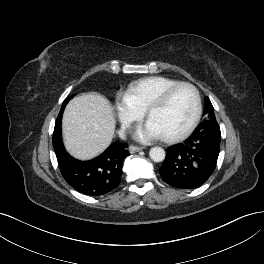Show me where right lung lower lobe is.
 Listing matches in <instances>:
<instances>
[{
	"label": "right lung lower lobe",
	"instance_id": "right-lung-lower-lobe-1",
	"mask_svg": "<svg viewBox=\"0 0 264 264\" xmlns=\"http://www.w3.org/2000/svg\"><path fill=\"white\" fill-rule=\"evenodd\" d=\"M60 112L54 128L53 147L64 179L77 191L91 196L106 194L121 180L124 159L129 155L127 144L113 143L100 156L80 161L70 156L62 142Z\"/></svg>",
	"mask_w": 264,
	"mask_h": 264
}]
</instances>
